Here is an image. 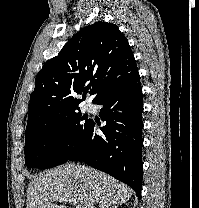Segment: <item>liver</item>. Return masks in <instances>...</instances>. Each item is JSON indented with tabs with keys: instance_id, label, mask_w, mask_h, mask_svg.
<instances>
[{
	"instance_id": "obj_1",
	"label": "liver",
	"mask_w": 199,
	"mask_h": 208,
	"mask_svg": "<svg viewBox=\"0 0 199 208\" xmlns=\"http://www.w3.org/2000/svg\"><path fill=\"white\" fill-rule=\"evenodd\" d=\"M132 191L110 175L91 167L66 163L34 177L27 190L26 208H67L54 202L75 199L81 208H111L128 201Z\"/></svg>"
}]
</instances>
